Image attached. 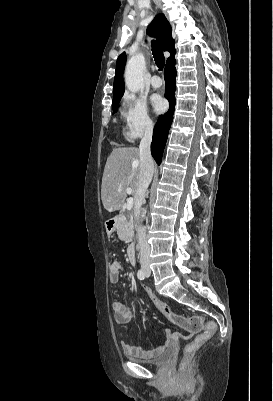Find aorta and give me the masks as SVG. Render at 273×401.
I'll use <instances>...</instances> for the list:
<instances>
[{
	"mask_svg": "<svg viewBox=\"0 0 273 401\" xmlns=\"http://www.w3.org/2000/svg\"><path fill=\"white\" fill-rule=\"evenodd\" d=\"M146 68L145 58L142 54L133 56L126 65L125 84L127 88L136 93L143 88V73ZM146 210L143 209L141 217L144 218Z\"/></svg>",
	"mask_w": 273,
	"mask_h": 401,
	"instance_id": "1",
	"label": "aorta"
}]
</instances>
